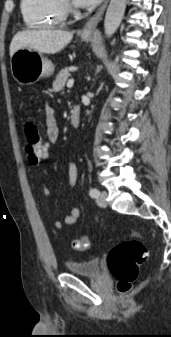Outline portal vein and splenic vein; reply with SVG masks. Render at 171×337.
Instances as JSON below:
<instances>
[{"mask_svg": "<svg viewBox=\"0 0 171 337\" xmlns=\"http://www.w3.org/2000/svg\"><path fill=\"white\" fill-rule=\"evenodd\" d=\"M73 84H74V79L71 78V79L67 82V87L70 88V87L73 86Z\"/></svg>", "mask_w": 171, "mask_h": 337, "instance_id": "portal-vein-and-splenic-vein-1", "label": "portal vein and splenic vein"}]
</instances>
